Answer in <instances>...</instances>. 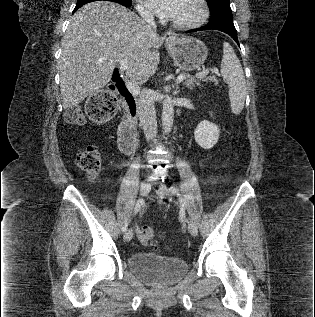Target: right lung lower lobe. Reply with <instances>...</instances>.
<instances>
[{
  "instance_id": "right-lung-lower-lobe-1",
  "label": "right lung lower lobe",
  "mask_w": 315,
  "mask_h": 317,
  "mask_svg": "<svg viewBox=\"0 0 315 317\" xmlns=\"http://www.w3.org/2000/svg\"><path fill=\"white\" fill-rule=\"evenodd\" d=\"M115 2V1H114ZM117 3H119V4H121V5H123V6H125V7H128L129 5H126V4H123V3H120V2H117ZM84 4H81V5H76V7H75V9H74V11H73V13L75 12V11H77L81 6H83Z\"/></svg>"
}]
</instances>
